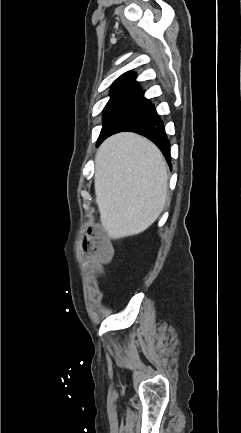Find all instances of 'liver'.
<instances>
[{"mask_svg":"<svg viewBox=\"0 0 241 433\" xmlns=\"http://www.w3.org/2000/svg\"><path fill=\"white\" fill-rule=\"evenodd\" d=\"M167 164L148 139L130 132L106 139L95 156V195L100 220L112 239L137 235L162 213Z\"/></svg>","mask_w":241,"mask_h":433,"instance_id":"liver-1","label":"liver"}]
</instances>
